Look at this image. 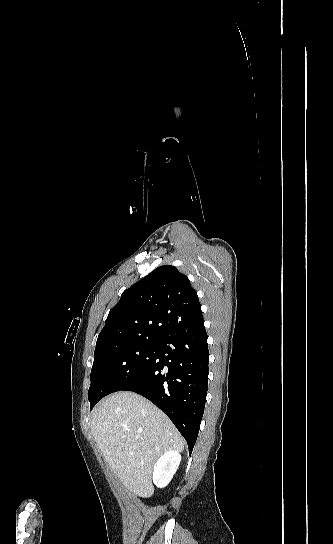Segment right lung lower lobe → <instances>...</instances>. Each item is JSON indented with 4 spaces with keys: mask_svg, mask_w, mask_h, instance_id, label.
<instances>
[{
    "mask_svg": "<svg viewBox=\"0 0 333 544\" xmlns=\"http://www.w3.org/2000/svg\"><path fill=\"white\" fill-rule=\"evenodd\" d=\"M203 316L158 340L154 357L138 377L121 390L149 399L186 439L189 454L196 442L205 408L209 350Z\"/></svg>",
    "mask_w": 333,
    "mask_h": 544,
    "instance_id": "1",
    "label": "right lung lower lobe"
}]
</instances>
